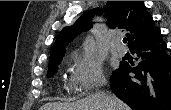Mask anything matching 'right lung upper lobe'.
Returning <instances> with one entry per match:
<instances>
[{
	"mask_svg": "<svg viewBox=\"0 0 171 110\" xmlns=\"http://www.w3.org/2000/svg\"><path fill=\"white\" fill-rule=\"evenodd\" d=\"M106 17L111 28H124L129 31V49L150 40L160 33L155 26L152 16L142 1H108L105 7ZM99 14V9L85 12L74 25L65 27L59 33L50 51V59L64 55L65 47L82 31L89 29L90 16Z\"/></svg>",
	"mask_w": 171,
	"mask_h": 110,
	"instance_id": "cb5924a9",
	"label": "right lung upper lobe"
}]
</instances>
